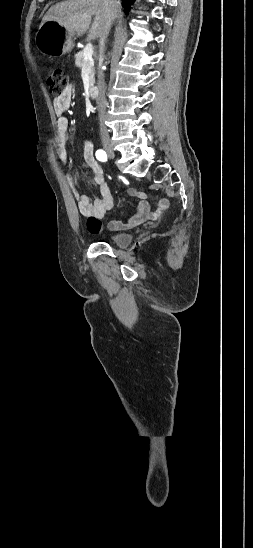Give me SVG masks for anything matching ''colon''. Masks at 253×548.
<instances>
[{
    "mask_svg": "<svg viewBox=\"0 0 253 548\" xmlns=\"http://www.w3.org/2000/svg\"><path fill=\"white\" fill-rule=\"evenodd\" d=\"M47 85L52 94L59 95L68 86V77L61 68H52L47 75Z\"/></svg>",
    "mask_w": 253,
    "mask_h": 548,
    "instance_id": "5ec220e1",
    "label": "colon"
}]
</instances>
